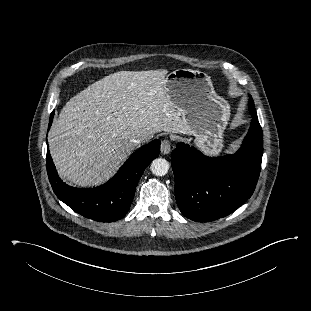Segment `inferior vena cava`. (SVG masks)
<instances>
[{"mask_svg":"<svg viewBox=\"0 0 311 311\" xmlns=\"http://www.w3.org/2000/svg\"><path fill=\"white\" fill-rule=\"evenodd\" d=\"M145 139H146V138L143 137V136H137V137H133V138L131 139V142L134 143V144H139V143L145 141Z\"/></svg>","mask_w":311,"mask_h":311,"instance_id":"1","label":"inferior vena cava"}]
</instances>
